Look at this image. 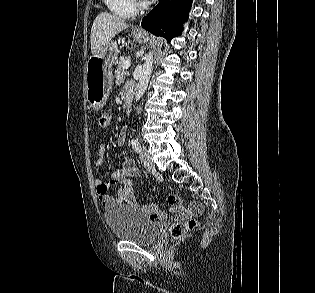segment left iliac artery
I'll return each mask as SVG.
<instances>
[{
  "label": "left iliac artery",
  "mask_w": 315,
  "mask_h": 293,
  "mask_svg": "<svg viewBox=\"0 0 315 293\" xmlns=\"http://www.w3.org/2000/svg\"><path fill=\"white\" fill-rule=\"evenodd\" d=\"M131 145L136 152H141V146L138 139L133 138L131 140Z\"/></svg>",
  "instance_id": "left-iliac-artery-1"
}]
</instances>
